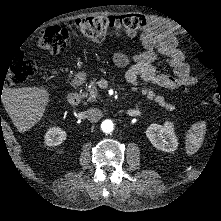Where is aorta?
Returning a JSON list of instances; mask_svg holds the SVG:
<instances>
[{"instance_id": "762f6f07", "label": "aorta", "mask_w": 221, "mask_h": 221, "mask_svg": "<svg viewBox=\"0 0 221 221\" xmlns=\"http://www.w3.org/2000/svg\"><path fill=\"white\" fill-rule=\"evenodd\" d=\"M101 128L104 133L109 134L114 130V122L110 119H106L102 122Z\"/></svg>"}]
</instances>
